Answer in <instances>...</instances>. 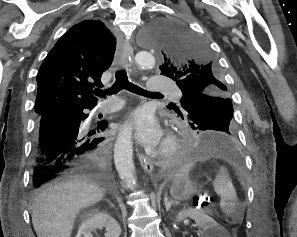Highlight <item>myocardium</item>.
<instances>
[{
	"label": "myocardium",
	"instance_id": "1",
	"mask_svg": "<svg viewBox=\"0 0 297 237\" xmlns=\"http://www.w3.org/2000/svg\"><path fill=\"white\" fill-rule=\"evenodd\" d=\"M179 150V140L173 132H166L162 143L156 152V155L161 159L172 158Z\"/></svg>",
	"mask_w": 297,
	"mask_h": 237
}]
</instances>
